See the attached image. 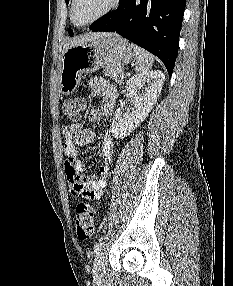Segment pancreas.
<instances>
[{
    "label": "pancreas",
    "instance_id": "1",
    "mask_svg": "<svg viewBox=\"0 0 233 286\" xmlns=\"http://www.w3.org/2000/svg\"><path fill=\"white\" fill-rule=\"evenodd\" d=\"M124 69L122 67H110L104 70V74L112 78L115 83L122 84L124 81Z\"/></svg>",
    "mask_w": 233,
    "mask_h": 286
}]
</instances>
